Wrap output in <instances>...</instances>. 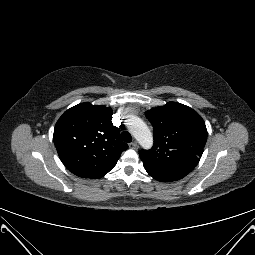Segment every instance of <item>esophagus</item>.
Wrapping results in <instances>:
<instances>
[{"instance_id":"1","label":"esophagus","mask_w":255,"mask_h":255,"mask_svg":"<svg viewBox=\"0 0 255 255\" xmlns=\"http://www.w3.org/2000/svg\"><path fill=\"white\" fill-rule=\"evenodd\" d=\"M128 146L131 149H137L138 148V143H137V141H133V142L129 143Z\"/></svg>"}]
</instances>
